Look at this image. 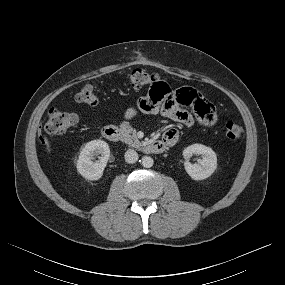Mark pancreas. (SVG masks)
<instances>
[{
	"label": "pancreas",
	"mask_w": 285,
	"mask_h": 285,
	"mask_svg": "<svg viewBox=\"0 0 285 285\" xmlns=\"http://www.w3.org/2000/svg\"><path fill=\"white\" fill-rule=\"evenodd\" d=\"M122 130L124 132V141L133 147H139L141 146V142L139 141V139L136 136V132L135 130H133L128 124H125L122 127ZM131 134V135H130Z\"/></svg>",
	"instance_id": "cf45deb5"
}]
</instances>
